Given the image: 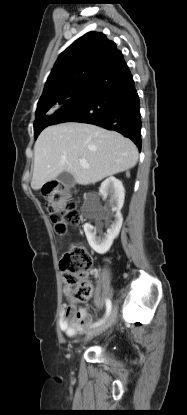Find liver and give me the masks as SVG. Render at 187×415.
<instances>
[{
  "mask_svg": "<svg viewBox=\"0 0 187 415\" xmlns=\"http://www.w3.org/2000/svg\"><path fill=\"white\" fill-rule=\"evenodd\" d=\"M84 159L89 168L80 165ZM138 160L136 145L115 131L68 122L45 128L34 145L31 187L39 190L60 173L69 172L81 185L129 170Z\"/></svg>",
  "mask_w": 187,
  "mask_h": 415,
  "instance_id": "1",
  "label": "liver"
}]
</instances>
